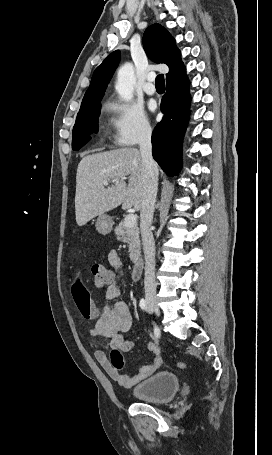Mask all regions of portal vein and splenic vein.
Returning a JSON list of instances; mask_svg holds the SVG:
<instances>
[{
  "label": "portal vein and splenic vein",
  "instance_id": "obj_1",
  "mask_svg": "<svg viewBox=\"0 0 272 455\" xmlns=\"http://www.w3.org/2000/svg\"><path fill=\"white\" fill-rule=\"evenodd\" d=\"M103 184H104L105 186H107V185H108V181H103ZM136 220H137L136 215H134V214H128V215L125 217V219H124L125 226H126V227H132V226H134V225L136 224Z\"/></svg>",
  "mask_w": 272,
  "mask_h": 455
}]
</instances>
